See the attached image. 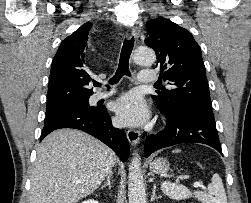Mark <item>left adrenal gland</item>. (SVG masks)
Masks as SVG:
<instances>
[{
	"mask_svg": "<svg viewBox=\"0 0 251 203\" xmlns=\"http://www.w3.org/2000/svg\"><path fill=\"white\" fill-rule=\"evenodd\" d=\"M155 193H156V185H154L153 190H152L151 201L161 198V196L157 197Z\"/></svg>",
	"mask_w": 251,
	"mask_h": 203,
	"instance_id": "obj_1",
	"label": "left adrenal gland"
}]
</instances>
